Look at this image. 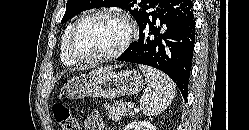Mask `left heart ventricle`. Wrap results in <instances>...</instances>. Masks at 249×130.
I'll return each instance as SVG.
<instances>
[{"label":"left heart ventricle","instance_id":"b2bd125f","mask_svg":"<svg viewBox=\"0 0 249 130\" xmlns=\"http://www.w3.org/2000/svg\"><path fill=\"white\" fill-rule=\"evenodd\" d=\"M127 33L126 23L119 18L91 17L80 25L74 40V50L82 56L107 54L120 46Z\"/></svg>","mask_w":249,"mask_h":130}]
</instances>
